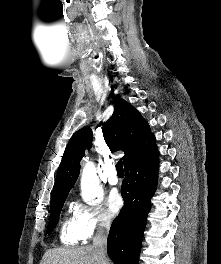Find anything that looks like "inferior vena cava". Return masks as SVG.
I'll list each match as a JSON object with an SVG mask.
<instances>
[{"instance_id":"602c4592","label":"inferior vena cava","mask_w":221,"mask_h":264,"mask_svg":"<svg viewBox=\"0 0 221 264\" xmlns=\"http://www.w3.org/2000/svg\"><path fill=\"white\" fill-rule=\"evenodd\" d=\"M110 227V221L104 220L100 223V227L96 232V235L93 237V247L96 252V257L99 264H109L107 260V236L108 230Z\"/></svg>"}]
</instances>
